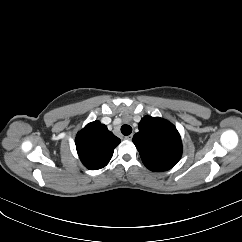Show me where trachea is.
Segmentation results:
<instances>
[{
    "label": "trachea",
    "instance_id": "obj_1",
    "mask_svg": "<svg viewBox=\"0 0 242 242\" xmlns=\"http://www.w3.org/2000/svg\"><path fill=\"white\" fill-rule=\"evenodd\" d=\"M131 132H132V127L131 126L125 124V125H123L121 127V133L123 135L128 136V135L131 134Z\"/></svg>",
    "mask_w": 242,
    "mask_h": 242
}]
</instances>
